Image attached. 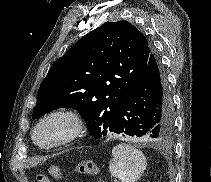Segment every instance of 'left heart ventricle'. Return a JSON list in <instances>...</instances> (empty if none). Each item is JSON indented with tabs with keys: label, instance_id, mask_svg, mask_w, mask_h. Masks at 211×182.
Returning <instances> with one entry per match:
<instances>
[{
	"label": "left heart ventricle",
	"instance_id": "left-heart-ventricle-1",
	"mask_svg": "<svg viewBox=\"0 0 211 182\" xmlns=\"http://www.w3.org/2000/svg\"><path fill=\"white\" fill-rule=\"evenodd\" d=\"M71 128V122L65 118H53L44 123L37 132V138L43 142H51L61 138Z\"/></svg>",
	"mask_w": 211,
	"mask_h": 182
}]
</instances>
